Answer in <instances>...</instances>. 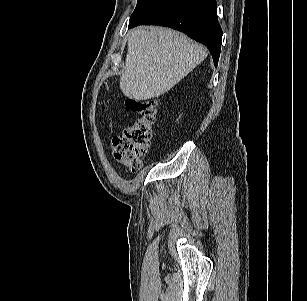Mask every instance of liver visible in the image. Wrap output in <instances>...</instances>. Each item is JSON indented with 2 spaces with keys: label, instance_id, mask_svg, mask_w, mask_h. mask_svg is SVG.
<instances>
[{
  "label": "liver",
  "instance_id": "liver-1",
  "mask_svg": "<svg viewBox=\"0 0 307 301\" xmlns=\"http://www.w3.org/2000/svg\"><path fill=\"white\" fill-rule=\"evenodd\" d=\"M207 56V49L177 31L138 27L128 36L123 94L136 100L159 97L180 82Z\"/></svg>",
  "mask_w": 307,
  "mask_h": 301
}]
</instances>
